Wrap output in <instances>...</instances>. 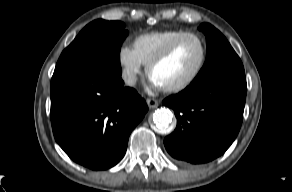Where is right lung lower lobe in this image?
Returning <instances> with one entry per match:
<instances>
[{
	"label": "right lung lower lobe",
	"mask_w": 292,
	"mask_h": 192,
	"mask_svg": "<svg viewBox=\"0 0 292 192\" xmlns=\"http://www.w3.org/2000/svg\"><path fill=\"white\" fill-rule=\"evenodd\" d=\"M54 137L76 163L93 170L116 165L147 104L121 75L96 65L57 64L51 79Z\"/></svg>",
	"instance_id": "obj_1"
}]
</instances>
